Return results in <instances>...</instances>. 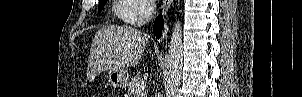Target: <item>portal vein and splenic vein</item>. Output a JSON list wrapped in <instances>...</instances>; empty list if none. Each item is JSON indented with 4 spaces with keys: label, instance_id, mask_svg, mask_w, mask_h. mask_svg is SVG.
Returning a JSON list of instances; mask_svg holds the SVG:
<instances>
[{
    "label": "portal vein and splenic vein",
    "instance_id": "obj_1",
    "mask_svg": "<svg viewBox=\"0 0 302 97\" xmlns=\"http://www.w3.org/2000/svg\"><path fill=\"white\" fill-rule=\"evenodd\" d=\"M145 87H146L145 81H144V80L139 81V82L136 84V91H135L136 94H139V93H141L142 91H144Z\"/></svg>",
    "mask_w": 302,
    "mask_h": 97
}]
</instances>
